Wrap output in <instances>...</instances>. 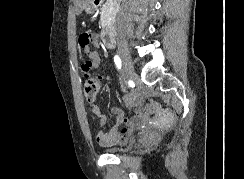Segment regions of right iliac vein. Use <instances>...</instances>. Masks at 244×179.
<instances>
[{"label":"right iliac vein","instance_id":"obj_1","mask_svg":"<svg viewBox=\"0 0 244 179\" xmlns=\"http://www.w3.org/2000/svg\"><path fill=\"white\" fill-rule=\"evenodd\" d=\"M119 54L123 63V79L126 81L128 78H134L135 72L129 52L125 47L121 46L119 47Z\"/></svg>","mask_w":244,"mask_h":179}]
</instances>
